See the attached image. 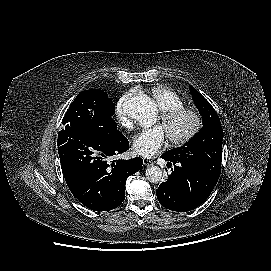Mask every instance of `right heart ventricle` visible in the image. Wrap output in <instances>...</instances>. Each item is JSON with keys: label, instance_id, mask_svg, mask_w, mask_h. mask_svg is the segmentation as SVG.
<instances>
[{"label": "right heart ventricle", "instance_id": "obj_1", "mask_svg": "<svg viewBox=\"0 0 271 271\" xmlns=\"http://www.w3.org/2000/svg\"><path fill=\"white\" fill-rule=\"evenodd\" d=\"M151 94L161 111L184 106L183 99L168 88L154 87Z\"/></svg>", "mask_w": 271, "mask_h": 271}]
</instances>
